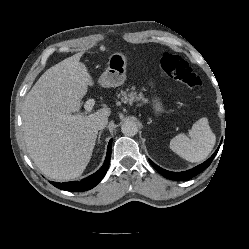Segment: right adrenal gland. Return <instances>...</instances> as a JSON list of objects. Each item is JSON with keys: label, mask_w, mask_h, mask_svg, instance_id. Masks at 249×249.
Here are the masks:
<instances>
[{"label": "right adrenal gland", "mask_w": 249, "mask_h": 249, "mask_svg": "<svg viewBox=\"0 0 249 249\" xmlns=\"http://www.w3.org/2000/svg\"><path fill=\"white\" fill-rule=\"evenodd\" d=\"M102 130L99 132V134H98V143H100V137H101V134H102Z\"/></svg>", "instance_id": "right-adrenal-gland-1"}]
</instances>
